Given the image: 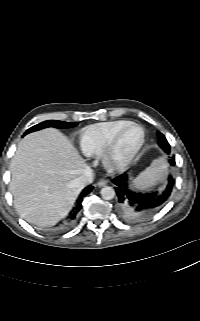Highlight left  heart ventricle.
Wrapping results in <instances>:
<instances>
[{"mask_svg":"<svg viewBox=\"0 0 200 321\" xmlns=\"http://www.w3.org/2000/svg\"><path fill=\"white\" fill-rule=\"evenodd\" d=\"M142 131L138 127H131L123 135L119 148L117 151V156L122 157L128 154L141 140Z\"/></svg>","mask_w":200,"mask_h":321,"instance_id":"left-heart-ventricle-1","label":"left heart ventricle"}]
</instances>
